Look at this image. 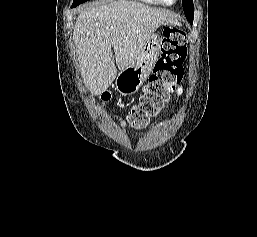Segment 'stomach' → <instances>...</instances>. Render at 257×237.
<instances>
[{
    "label": "stomach",
    "mask_w": 257,
    "mask_h": 237,
    "mask_svg": "<svg viewBox=\"0 0 257 237\" xmlns=\"http://www.w3.org/2000/svg\"><path fill=\"white\" fill-rule=\"evenodd\" d=\"M161 37L153 34L145 43L136 61L117 76L116 88L123 95L136 93L151 73L160 55Z\"/></svg>",
    "instance_id": "1"
}]
</instances>
